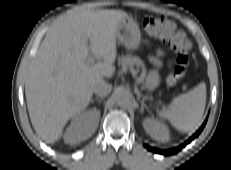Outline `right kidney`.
<instances>
[{"instance_id":"ca27d5eb","label":"right kidney","mask_w":231,"mask_h":170,"mask_svg":"<svg viewBox=\"0 0 231 170\" xmlns=\"http://www.w3.org/2000/svg\"><path fill=\"white\" fill-rule=\"evenodd\" d=\"M100 111L90 109L77 114L71 121L64 134V142L78 144L89 138L97 129Z\"/></svg>"}]
</instances>
